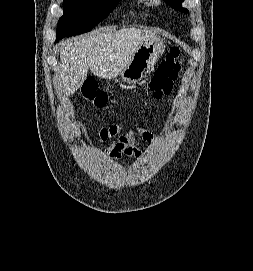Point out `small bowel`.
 Returning a JSON list of instances; mask_svg holds the SVG:
<instances>
[{"instance_id":"small-bowel-1","label":"small bowel","mask_w":253,"mask_h":271,"mask_svg":"<svg viewBox=\"0 0 253 271\" xmlns=\"http://www.w3.org/2000/svg\"><path fill=\"white\" fill-rule=\"evenodd\" d=\"M136 134H139L147 142L158 140V135L147 129L131 128L123 130L116 124H109L99 130V138L101 140H107L112 136L118 135L117 140L112 142L106 152L108 158L115 161H119L123 157L131 159L143 158L142 150L136 145Z\"/></svg>"}]
</instances>
